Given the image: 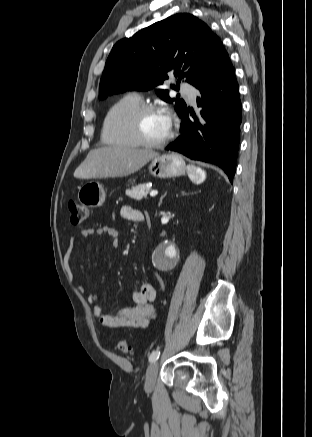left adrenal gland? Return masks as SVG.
I'll return each mask as SVG.
<instances>
[{"instance_id": "obj_1", "label": "left adrenal gland", "mask_w": 312, "mask_h": 437, "mask_svg": "<svg viewBox=\"0 0 312 437\" xmlns=\"http://www.w3.org/2000/svg\"><path fill=\"white\" fill-rule=\"evenodd\" d=\"M165 196H166V194H165L163 197H165ZM161 203H162V200L160 201V204H161ZM160 204H159V205H160Z\"/></svg>"}]
</instances>
